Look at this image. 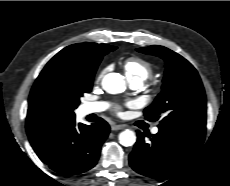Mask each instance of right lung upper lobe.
<instances>
[{
	"instance_id": "right-lung-upper-lobe-1",
	"label": "right lung upper lobe",
	"mask_w": 230,
	"mask_h": 186,
	"mask_svg": "<svg viewBox=\"0 0 230 186\" xmlns=\"http://www.w3.org/2000/svg\"><path fill=\"white\" fill-rule=\"evenodd\" d=\"M106 44L79 43L57 53L36 79L28 100L26 131L35 135L45 128L75 118L71 108L56 94V81L77 70L93 69L102 59Z\"/></svg>"
}]
</instances>
